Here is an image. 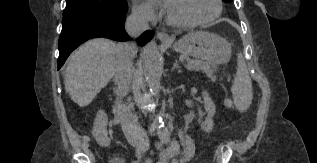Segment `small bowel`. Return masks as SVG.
Masks as SVG:
<instances>
[{"label":"small bowel","instance_id":"1","mask_svg":"<svg viewBox=\"0 0 317 163\" xmlns=\"http://www.w3.org/2000/svg\"><path fill=\"white\" fill-rule=\"evenodd\" d=\"M182 147L179 151V157L177 159H172L178 152V143L172 141L168 148H166L160 156V159L156 163H188L194 156L195 145L193 140L188 135H182ZM111 163H124L122 158L115 156L112 158ZM132 163H142V160L138 159ZM145 163H152L151 160H145Z\"/></svg>","mask_w":317,"mask_h":163}]
</instances>
